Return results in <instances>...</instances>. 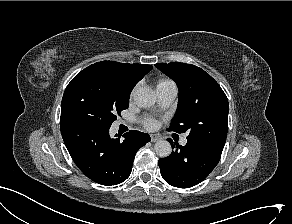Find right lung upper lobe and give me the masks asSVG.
Here are the masks:
<instances>
[{
	"mask_svg": "<svg viewBox=\"0 0 292 224\" xmlns=\"http://www.w3.org/2000/svg\"><path fill=\"white\" fill-rule=\"evenodd\" d=\"M98 63L111 68L130 91L152 69V66L143 64H127L115 61Z\"/></svg>",
	"mask_w": 292,
	"mask_h": 224,
	"instance_id": "right-lung-upper-lobe-1",
	"label": "right lung upper lobe"
}]
</instances>
